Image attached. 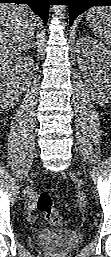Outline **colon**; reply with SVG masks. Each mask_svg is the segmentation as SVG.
<instances>
[{
	"label": "colon",
	"mask_w": 111,
	"mask_h": 257,
	"mask_svg": "<svg viewBox=\"0 0 111 257\" xmlns=\"http://www.w3.org/2000/svg\"><path fill=\"white\" fill-rule=\"evenodd\" d=\"M37 210L52 225L63 227L65 221L54 207L53 199L48 191H40L36 197Z\"/></svg>",
	"instance_id": "obj_1"
}]
</instances>
